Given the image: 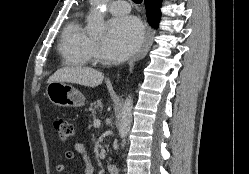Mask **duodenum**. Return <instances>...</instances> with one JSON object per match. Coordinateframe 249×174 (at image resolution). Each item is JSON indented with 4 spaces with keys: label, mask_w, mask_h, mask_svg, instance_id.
<instances>
[{
    "label": "duodenum",
    "mask_w": 249,
    "mask_h": 174,
    "mask_svg": "<svg viewBox=\"0 0 249 174\" xmlns=\"http://www.w3.org/2000/svg\"><path fill=\"white\" fill-rule=\"evenodd\" d=\"M107 171L109 174H119V168L115 164H109L107 166Z\"/></svg>",
    "instance_id": "1"
}]
</instances>
